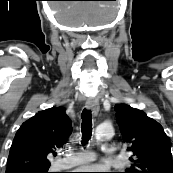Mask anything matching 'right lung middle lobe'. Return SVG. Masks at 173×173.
<instances>
[{"instance_id": "obj_1", "label": "right lung middle lobe", "mask_w": 173, "mask_h": 173, "mask_svg": "<svg viewBox=\"0 0 173 173\" xmlns=\"http://www.w3.org/2000/svg\"><path fill=\"white\" fill-rule=\"evenodd\" d=\"M48 169H49V168L41 169V170H36V171H32V173H49V172H48Z\"/></svg>"}]
</instances>
